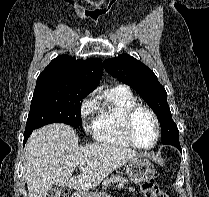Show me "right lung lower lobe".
I'll use <instances>...</instances> for the list:
<instances>
[{
    "instance_id": "right-lung-lower-lobe-1",
    "label": "right lung lower lobe",
    "mask_w": 209,
    "mask_h": 197,
    "mask_svg": "<svg viewBox=\"0 0 209 197\" xmlns=\"http://www.w3.org/2000/svg\"><path fill=\"white\" fill-rule=\"evenodd\" d=\"M32 131H33V130L28 131V132H25V134H24V141H23V145H25V143H26V141H27L28 137L30 136V134L32 133Z\"/></svg>"
}]
</instances>
